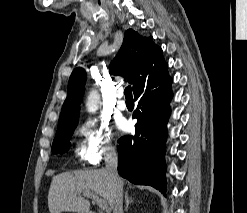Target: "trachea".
<instances>
[{"mask_svg":"<svg viewBox=\"0 0 247 213\" xmlns=\"http://www.w3.org/2000/svg\"><path fill=\"white\" fill-rule=\"evenodd\" d=\"M125 98L126 99H133L132 93H131V86H127L124 90Z\"/></svg>","mask_w":247,"mask_h":213,"instance_id":"1","label":"trachea"}]
</instances>
